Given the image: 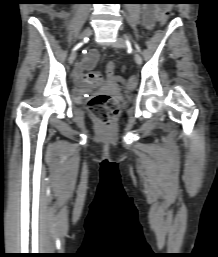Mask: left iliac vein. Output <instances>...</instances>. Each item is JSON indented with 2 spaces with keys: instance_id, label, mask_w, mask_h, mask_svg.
<instances>
[{
  "instance_id": "left-iliac-vein-1",
  "label": "left iliac vein",
  "mask_w": 218,
  "mask_h": 257,
  "mask_svg": "<svg viewBox=\"0 0 218 257\" xmlns=\"http://www.w3.org/2000/svg\"><path fill=\"white\" fill-rule=\"evenodd\" d=\"M126 45H127V42H126L125 37H123V36L117 37V39L113 43V46L116 48H124V47H126ZM134 58L138 65L142 64V57L136 50H134Z\"/></svg>"
}]
</instances>
